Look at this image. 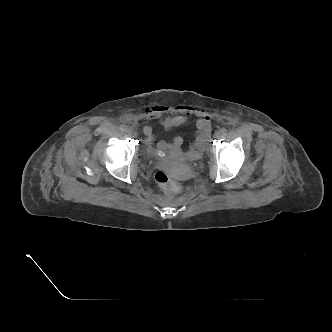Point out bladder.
<instances>
[{
	"mask_svg": "<svg viewBox=\"0 0 332 332\" xmlns=\"http://www.w3.org/2000/svg\"><path fill=\"white\" fill-rule=\"evenodd\" d=\"M202 153L203 151H198V150H195L193 147L190 148L188 151H187V159L190 160V161H194V160H197L199 159L201 156H202Z\"/></svg>",
	"mask_w": 332,
	"mask_h": 332,
	"instance_id": "1",
	"label": "bladder"
}]
</instances>
